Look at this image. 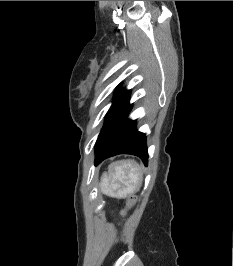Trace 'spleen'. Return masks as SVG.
Instances as JSON below:
<instances>
[{
  "label": "spleen",
  "mask_w": 233,
  "mask_h": 266,
  "mask_svg": "<svg viewBox=\"0 0 233 266\" xmlns=\"http://www.w3.org/2000/svg\"><path fill=\"white\" fill-rule=\"evenodd\" d=\"M142 175L135 161H116L109 165L108 173L101 178V191L111 197L125 198L139 190Z\"/></svg>",
  "instance_id": "obj_1"
}]
</instances>
